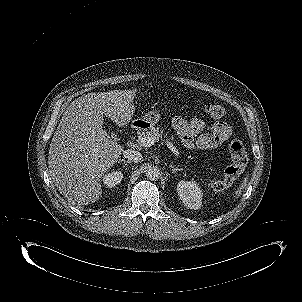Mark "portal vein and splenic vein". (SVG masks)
Masks as SVG:
<instances>
[{"instance_id": "1", "label": "portal vein and splenic vein", "mask_w": 302, "mask_h": 302, "mask_svg": "<svg viewBox=\"0 0 302 302\" xmlns=\"http://www.w3.org/2000/svg\"><path fill=\"white\" fill-rule=\"evenodd\" d=\"M156 141L157 140L154 137H141L138 140L139 144L143 147H150V146L154 145V143Z\"/></svg>"}]
</instances>
